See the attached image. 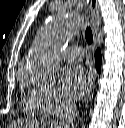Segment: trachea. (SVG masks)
Here are the masks:
<instances>
[{
  "mask_svg": "<svg viewBox=\"0 0 125 128\" xmlns=\"http://www.w3.org/2000/svg\"><path fill=\"white\" fill-rule=\"evenodd\" d=\"M85 39L87 41L88 44H91L92 41H93V35H92V30L90 28V26H87L86 27V30H85Z\"/></svg>",
  "mask_w": 125,
  "mask_h": 128,
  "instance_id": "3493384b",
  "label": "trachea"
}]
</instances>
